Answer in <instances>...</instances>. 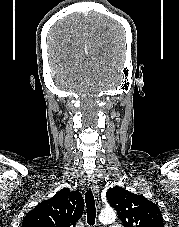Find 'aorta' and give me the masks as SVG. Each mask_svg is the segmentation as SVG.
Masks as SVG:
<instances>
[{"label": "aorta", "mask_w": 179, "mask_h": 227, "mask_svg": "<svg viewBox=\"0 0 179 227\" xmlns=\"http://www.w3.org/2000/svg\"><path fill=\"white\" fill-rule=\"evenodd\" d=\"M116 212L112 209H105L99 215V221L102 224H111L116 220Z\"/></svg>", "instance_id": "1"}]
</instances>
